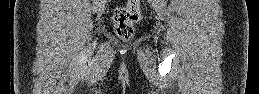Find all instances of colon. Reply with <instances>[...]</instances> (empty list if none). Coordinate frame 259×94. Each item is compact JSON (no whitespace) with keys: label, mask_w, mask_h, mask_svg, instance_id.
<instances>
[{"label":"colon","mask_w":259,"mask_h":94,"mask_svg":"<svg viewBox=\"0 0 259 94\" xmlns=\"http://www.w3.org/2000/svg\"><path fill=\"white\" fill-rule=\"evenodd\" d=\"M140 18L139 0H128L124 6L118 7L114 12L116 34L124 40L130 39L134 34V25Z\"/></svg>","instance_id":"colon-1"}]
</instances>
